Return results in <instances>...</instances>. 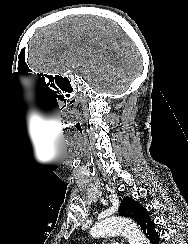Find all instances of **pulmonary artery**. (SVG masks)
<instances>
[{
    "mask_svg": "<svg viewBox=\"0 0 188 244\" xmlns=\"http://www.w3.org/2000/svg\"><path fill=\"white\" fill-rule=\"evenodd\" d=\"M108 244H119V243H117V242H112V243H108Z\"/></svg>",
    "mask_w": 188,
    "mask_h": 244,
    "instance_id": "1",
    "label": "pulmonary artery"
}]
</instances>
